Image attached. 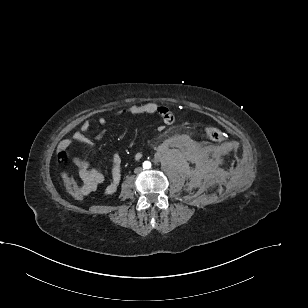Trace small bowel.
<instances>
[{"mask_svg":"<svg viewBox=\"0 0 308 308\" xmlns=\"http://www.w3.org/2000/svg\"><path fill=\"white\" fill-rule=\"evenodd\" d=\"M121 115H143V114H158L165 124H171L174 120L173 113L165 106L159 105L157 103H145V104H133L123 108L120 111ZM98 123L100 125H105L107 123V118L105 116H100L98 118ZM90 128V122L85 121L81 125V131L76 132L73 135V139L87 147H92L93 142L85 135V133ZM104 132L97 135V138H101ZM184 136L180 135L176 139H183ZM71 141L69 139L62 140L58 145L59 151H66L70 146ZM74 165L78 169L79 177L82 181V187L89 193L97 189V187L105 182L104 174L96 169L90 168L89 163L80 158L74 157L72 159ZM121 180V159L118 154H114L112 157L110 179L105 186V192L107 194H113L119 185Z\"/></svg>","mask_w":308,"mask_h":308,"instance_id":"small-bowel-1","label":"small bowel"}]
</instances>
